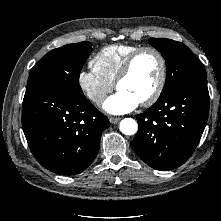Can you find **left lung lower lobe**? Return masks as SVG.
<instances>
[{
    "label": "left lung lower lobe",
    "mask_w": 221,
    "mask_h": 221,
    "mask_svg": "<svg viewBox=\"0 0 221 221\" xmlns=\"http://www.w3.org/2000/svg\"><path fill=\"white\" fill-rule=\"evenodd\" d=\"M208 113L207 79L185 82L137 116L139 128L131 147L150 167L175 169L194 152Z\"/></svg>",
    "instance_id": "obj_1"
}]
</instances>
